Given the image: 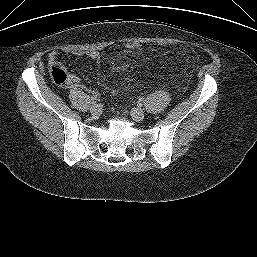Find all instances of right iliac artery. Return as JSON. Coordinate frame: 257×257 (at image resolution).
Masks as SVG:
<instances>
[{
	"instance_id": "right-iliac-artery-1",
	"label": "right iliac artery",
	"mask_w": 257,
	"mask_h": 257,
	"mask_svg": "<svg viewBox=\"0 0 257 257\" xmlns=\"http://www.w3.org/2000/svg\"><path fill=\"white\" fill-rule=\"evenodd\" d=\"M97 100H98L97 96H92V97H91V101H92V102H96Z\"/></svg>"
}]
</instances>
